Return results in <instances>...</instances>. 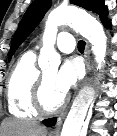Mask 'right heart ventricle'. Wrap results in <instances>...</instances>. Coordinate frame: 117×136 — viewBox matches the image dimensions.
Instances as JSON below:
<instances>
[{
	"label": "right heart ventricle",
	"mask_w": 117,
	"mask_h": 136,
	"mask_svg": "<svg viewBox=\"0 0 117 136\" xmlns=\"http://www.w3.org/2000/svg\"><path fill=\"white\" fill-rule=\"evenodd\" d=\"M39 76L34 52L24 53L13 68L6 86L8 110L12 115L20 118L37 116L33 107V92Z\"/></svg>",
	"instance_id": "1"
}]
</instances>
